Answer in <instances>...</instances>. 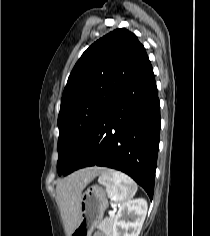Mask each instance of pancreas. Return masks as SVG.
I'll use <instances>...</instances> for the list:
<instances>
[{
	"label": "pancreas",
	"instance_id": "pancreas-1",
	"mask_svg": "<svg viewBox=\"0 0 210 236\" xmlns=\"http://www.w3.org/2000/svg\"><path fill=\"white\" fill-rule=\"evenodd\" d=\"M114 215L110 216L109 218L106 217L104 220H102L99 224V229L103 232L106 233V235H109L111 233L112 230V226L114 223Z\"/></svg>",
	"mask_w": 210,
	"mask_h": 236
}]
</instances>
